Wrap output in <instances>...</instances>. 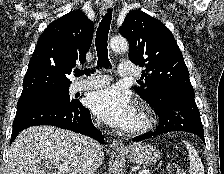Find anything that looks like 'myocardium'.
<instances>
[{
  "instance_id": "myocardium-1",
  "label": "myocardium",
  "mask_w": 224,
  "mask_h": 174,
  "mask_svg": "<svg viewBox=\"0 0 224 174\" xmlns=\"http://www.w3.org/2000/svg\"><path fill=\"white\" fill-rule=\"evenodd\" d=\"M139 122L136 126L127 128L126 134L139 135L149 131L154 125V116L151 110L145 105H139L137 108Z\"/></svg>"
}]
</instances>
